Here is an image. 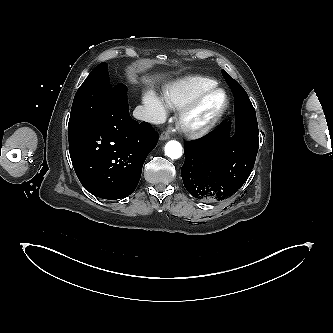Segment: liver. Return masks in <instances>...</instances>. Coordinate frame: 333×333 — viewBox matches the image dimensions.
Instances as JSON below:
<instances>
[{
  "mask_svg": "<svg viewBox=\"0 0 333 333\" xmlns=\"http://www.w3.org/2000/svg\"><path fill=\"white\" fill-rule=\"evenodd\" d=\"M157 78H159L158 77V75L157 76H155V77H145L144 79H143V82H145L146 84H152L153 83V81L155 80V79H157Z\"/></svg>",
  "mask_w": 333,
  "mask_h": 333,
  "instance_id": "6515ba94",
  "label": "liver"
}]
</instances>
